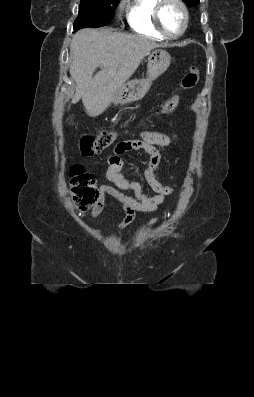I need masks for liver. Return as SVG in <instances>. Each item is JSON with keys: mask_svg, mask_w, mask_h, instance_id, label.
Wrapping results in <instances>:
<instances>
[{"mask_svg": "<svg viewBox=\"0 0 254 397\" xmlns=\"http://www.w3.org/2000/svg\"><path fill=\"white\" fill-rule=\"evenodd\" d=\"M154 41L139 35L113 32L108 28L79 30L72 38L70 75L76 83L72 102L82 99L88 115H101L114 94L137 70L154 48ZM100 71L94 76V70Z\"/></svg>", "mask_w": 254, "mask_h": 397, "instance_id": "liver-1", "label": "liver"}]
</instances>
